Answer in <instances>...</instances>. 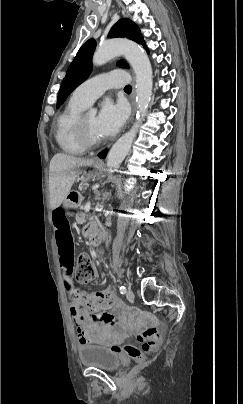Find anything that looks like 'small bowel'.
<instances>
[{
  "instance_id": "small-bowel-1",
  "label": "small bowel",
  "mask_w": 243,
  "mask_h": 404,
  "mask_svg": "<svg viewBox=\"0 0 243 404\" xmlns=\"http://www.w3.org/2000/svg\"><path fill=\"white\" fill-rule=\"evenodd\" d=\"M51 218L63 281L68 295L73 298L77 293V288L73 280L74 247L64 207L58 206L54 208ZM70 315L77 327L78 341L80 344L118 343L122 340L127 330L125 323L122 320L115 321V317L110 313H91L83 311L77 305L72 304L70 306ZM114 325H117L122 332L114 333L112 331Z\"/></svg>"
}]
</instances>
